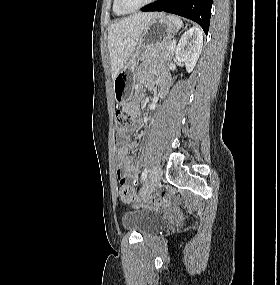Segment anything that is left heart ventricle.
I'll list each match as a JSON object with an SVG mask.
<instances>
[{"label": "left heart ventricle", "instance_id": "left-heart-ventricle-1", "mask_svg": "<svg viewBox=\"0 0 280 285\" xmlns=\"http://www.w3.org/2000/svg\"><path fill=\"white\" fill-rule=\"evenodd\" d=\"M124 1L128 6H137L145 2L146 0H124Z\"/></svg>", "mask_w": 280, "mask_h": 285}]
</instances>
